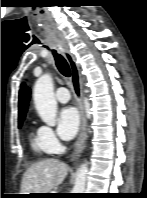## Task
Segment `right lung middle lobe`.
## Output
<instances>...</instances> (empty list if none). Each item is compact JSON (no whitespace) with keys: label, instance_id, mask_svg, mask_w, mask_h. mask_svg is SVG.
<instances>
[{"label":"right lung middle lobe","instance_id":"obj_1","mask_svg":"<svg viewBox=\"0 0 147 198\" xmlns=\"http://www.w3.org/2000/svg\"><path fill=\"white\" fill-rule=\"evenodd\" d=\"M24 119L18 120V127L20 128L22 126Z\"/></svg>","mask_w":147,"mask_h":198}]
</instances>
